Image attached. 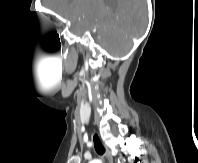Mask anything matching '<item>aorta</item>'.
<instances>
[{
  "mask_svg": "<svg viewBox=\"0 0 198 163\" xmlns=\"http://www.w3.org/2000/svg\"><path fill=\"white\" fill-rule=\"evenodd\" d=\"M89 163H102V161L99 159H95V160H91Z\"/></svg>",
  "mask_w": 198,
  "mask_h": 163,
  "instance_id": "obj_1",
  "label": "aorta"
}]
</instances>
